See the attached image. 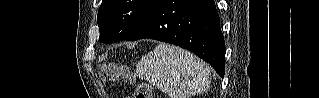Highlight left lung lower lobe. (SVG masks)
<instances>
[{
  "mask_svg": "<svg viewBox=\"0 0 319 98\" xmlns=\"http://www.w3.org/2000/svg\"><path fill=\"white\" fill-rule=\"evenodd\" d=\"M142 38L186 48L224 76L225 43L213 0H158L128 40Z\"/></svg>",
  "mask_w": 319,
  "mask_h": 98,
  "instance_id": "0a47b994",
  "label": "left lung lower lobe"
}]
</instances>
